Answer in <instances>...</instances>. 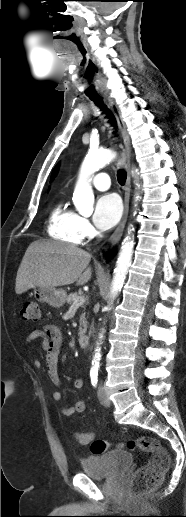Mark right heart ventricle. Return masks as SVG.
Instances as JSON below:
<instances>
[{
  "label": "right heart ventricle",
  "instance_id": "1",
  "mask_svg": "<svg viewBox=\"0 0 186 517\" xmlns=\"http://www.w3.org/2000/svg\"><path fill=\"white\" fill-rule=\"evenodd\" d=\"M77 217L75 212L59 201L49 214L47 227L49 236L68 244H79L82 238L77 229Z\"/></svg>",
  "mask_w": 186,
  "mask_h": 517
}]
</instances>
